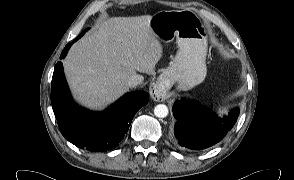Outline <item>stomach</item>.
<instances>
[{
    "instance_id": "stomach-1",
    "label": "stomach",
    "mask_w": 294,
    "mask_h": 180,
    "mask_svg": "<svg viewBox=\"0 0 294 180\" xmlns=\"http://www.w3.org/2000/svg\"><path fill=\"white\" fill-rule=\"evenodd\" d=\"M150 27L159 41L176 39L178 52L161 74L158 84L164 91L175 84L180 90H189L205 79L207 35L201 20L191 11H159L150 20Z\"/></svg>"
}]
</instances>
